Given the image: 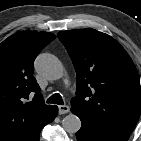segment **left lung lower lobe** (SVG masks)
<instances>
[{
	"label": "left lung lower lobe",
	"instance_id": "0a47b994",
	"mask_svg": "<svg viewBox=\"0 0 141 141\" xmlns=\"http://www.w3.org/2000/svg\"><path fill=\"white\" fill-rule=\"evenodd\" d=\"M82 122L81 129L76 133L78 141H127L130 134L105 128L94 122L81 111L71 108Z\"/></svg>",
	"mask_w": 141,
	"mask_h": 141
}]
</instances>
